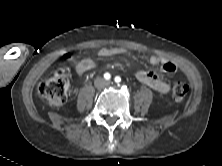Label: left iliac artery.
<instances>
[{"mask_svg":"<svg viewBox=\"0 0 222 166\" xmlns=\"http://www.w3.org/2000/svg\"><path fill=\"white\" fill-rule=\"evenodd\" d=\"M114 80H115L116 83H119V82L121 81V78H120L119 76H116V77L114 78Z\"/></svg>","mask_w":222,"mask_h":166,"instance_id":"44dca946","label":"left iliac artery"}]
</instances>
